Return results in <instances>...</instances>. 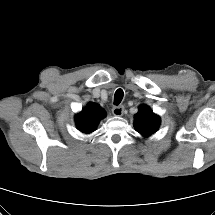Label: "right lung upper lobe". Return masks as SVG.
I'll list each match as a JSON object with an SVG mask.
<instances>
[{"mask_svg": "<svg viewBox=\"0 0 215 215\" xmlns=\"http://www.w3.org/2000/svg\"><path fill=\"white\" fill-rule=\"evenodd\" d=\"M104 116L105 111L99 105L89 103L82 112L76 115L77 127L83 133H91Z\"/></svg>", "mask_w": 215, "mask_h": 215, "instance_id": "right-lung-upper-lobe-1", "label": "right lung upper lobe"}]
</instances>
